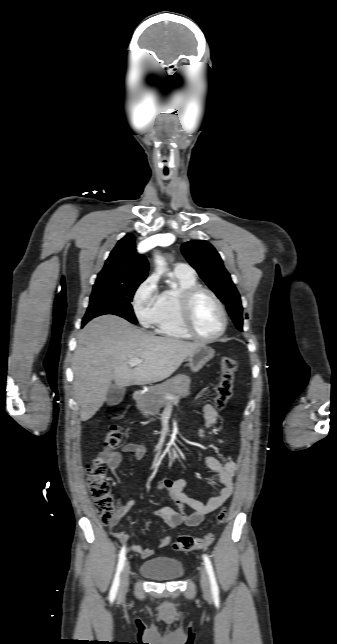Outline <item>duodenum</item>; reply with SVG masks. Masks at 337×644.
<instances>
[{
  "mask_svg": "<svg viewBox=\"0 0 337 644\" xmlns=\"http://www.w3.org/2000/svg\"><path fill=\"white\" fill-rule=\"evenodd\" d=\"M133 398L137 402L141 401L143 399V392L141 390L134 392Z\"/></svg>",
  "mask_w": 337,
  "mask_h": 644,
  "instance_id": "obj_1",
  "label": "duodenum"
}]
</instances>
